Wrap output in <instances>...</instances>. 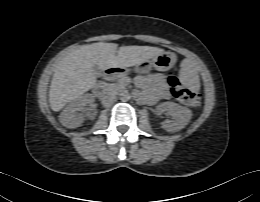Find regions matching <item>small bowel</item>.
Returning <instances> with one entry per match:
<instances>
[{
    "instance_id": "1",
    "label": "small bowel",
    "mask_w": 260,
    "mask_h": 202,
    "mask_svg": "<svg viewBox=\"0 0 260 202\" xmlns=\"http://www.w3.org/2000/svg\"><path fill=\"white\" fill-rule=\"evenodd\" d=\"M136 84L144 91L140 97L149 104H155L169 97L168 87L162 74L138 76Z\"/></svg>"
}]
</instances>
